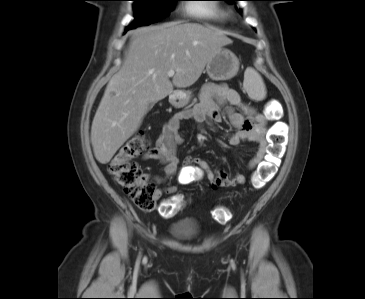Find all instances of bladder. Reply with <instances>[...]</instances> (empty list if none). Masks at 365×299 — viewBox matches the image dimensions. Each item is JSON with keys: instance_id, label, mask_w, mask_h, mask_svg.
Here are the masks:
<instances>
[{"instance_id": "bladder-1", "label": "bladder", "mask_w": 365, "mask_h": 299, "mask_svg": "<svg viewBox=\"0 0 365 299\" xmlns=\"http://www.w3.org/2000/svg\"><path fill=\"white\" fill-rule=\"evenodd\" d=\"M199 230V223L191 218L179 220L170 226L171 236L181 240L193 238Z\"/></svg>"}]
</instances>
